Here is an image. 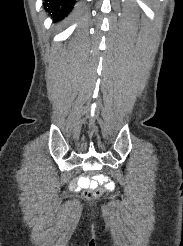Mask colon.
<instances>
[{"label": "colon", "mask_w": 183, "mask_h": 246, "mask_svg": "<svg viewBox=\"0 0 183 246\" xmlns=\"http://www.w3.org/2000/svg\"><path fill=\"white\" fill-rule=\"evenodd\" d=\"M85 174L87 175L96 174V170H85ZM98 183H100L101 185L106 184V182H98ZM87 188L88 189H86L83 193L84 198L87 200L94 199L101 194V189L99 187H96V185L93 187H87Z\"/></svg>", "instance_id": "5ec220e1"}]
</instances>
